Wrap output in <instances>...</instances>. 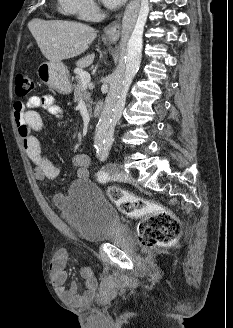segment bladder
<instances>
[{
  "mask_svg": "<svg viewBox=\"0 0 233 328\" xmlns=\"http://www.w3.org/2000/svg\"><path fill=\"white\" fill-rule=\"evenodd\" d=\"M53 204L65 222L87 242L99 243L119 234L129 236L116 208L90 180L73 182L65 193L54 196Z\"/></svg>",
  "mask_w": 233,
  "mask_h": 328,
  "instance_id": "bladder-1",
  "label": "bladder"
}]
</instances>
